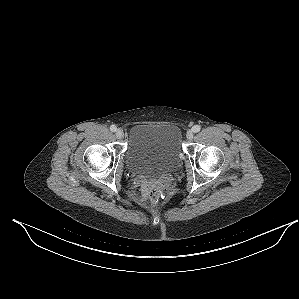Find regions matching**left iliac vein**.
Here are the masks:
<instances>
[{"instance_id": "1", "label": "left iliac vein", "mask_w": 299, "mask_h": 299, "mask_svg": "<svg viewBox=\"0 0 299 299\" xmlns=\"http://www.w3.org/2000/svg\"><path fill=\"white\" fill-rule=\"evenodd\" d=\"M193 135H194V133H193L192 130H189L186 133V137H187L188 140H191L193 138Z\"/></svg>"}]
</instances>
